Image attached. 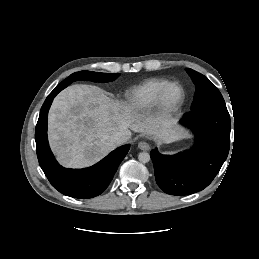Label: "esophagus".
Masks as SVG:
<instances>
[{
	"label": "esophagus",
	"instance_id": "esophagus-1",
	"mask_svg": "<svg viewBox=\"0 0 259 259\" xmlns=\"http://www.w3.org/2000/svg\"><path fill=\"white\" fill-rule=\"evenodd\" d=\"M138 148L143 151H148L150 150V145L145 141H141L138 143Z\"/></svg>",
	"mask_w": 259,
	"mask_h": 259
}]
</instances>
